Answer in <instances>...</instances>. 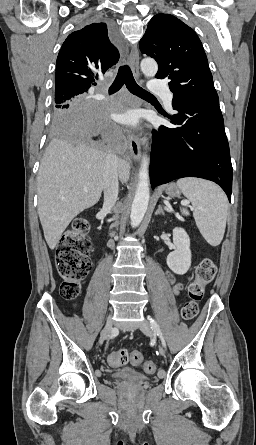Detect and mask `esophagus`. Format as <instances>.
<instances>
[{
  "mask_svg": "<svg viewBox=\"0 0 256 445\" xmlns=\"http://www.w3.org/2000/svg\"><path fill=\"white\" fill-rule=\"evenodd\" d=\"M129 64L136 77H139V52L136 47L133 48L129 55ZM127 141L129 145V151L134 160L138 161L141 156L140 140L133 133H127Z\"/></svg>",
  "mask_w": 256,
  "mask_h": 445,
  "instance_id": "esophagus-1",
  "label": "esophagus"
}]
</instances>
